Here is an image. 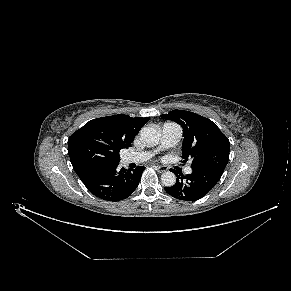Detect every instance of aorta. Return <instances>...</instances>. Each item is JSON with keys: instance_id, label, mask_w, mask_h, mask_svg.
Masks as SVG:
<instances>
[{"instance_id": "aorta-1", "label": "aorta", "mask_w": 291, "mask_h": 291, "mask_svg": "<svg viewBox=\"0 0 291 291\" xmlns=\"http://www.w3.org/2000/svg\"><path fill=\"white\" fill-rule=\"evenodd\" d=\"M141 140L147 144L155 145L160 140V132L153 126H144L140 130ZM161 181L164 186L171 187L176 183V176L170 171H166L161 175Z\"/></svg>"}]
</instances>
